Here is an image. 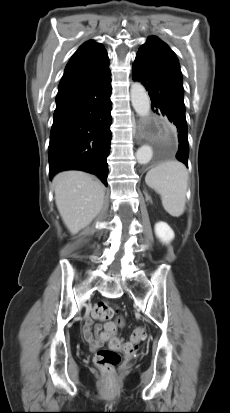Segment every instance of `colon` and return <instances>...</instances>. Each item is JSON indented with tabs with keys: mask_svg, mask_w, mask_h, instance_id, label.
Instances as JSON below:
<instances>
[{
	"mask_svg": "<svg viewBox=\"0 0 230 413\" xmlns=\"http://www.w3.org/2000/svg\"><path fill=\"white\" fill-rule=\"evenodd\" d=\"M117 311V307L107 302H98L94 306L93 315L99 321H110ZM146 332L143 328H136L124 345L126 353L136 351L138 345L145 339ZM121 347L119 339L114 332L109 334V347L100 349L95 355V363L105 372L111 374L119 365L121 357L117 349Z\"/></svg>",
	"mask_w": 230,
	"mask_h": 413,
	"instance_id": "1",
	"label": "colon"
}]
</instances>
